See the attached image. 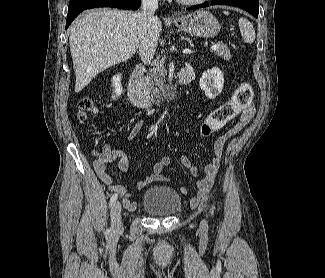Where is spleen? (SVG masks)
Here are the masks:
<instances>
[{
	"label": "spleen",
	"instance_id": "obj_1",
	"mask_svg": "<svg viewBox=\"0 0 325 278\" xmlns=\"http://www.w3.org/2000/svg\"><path fill=\"white\" fill-rule=\"evenodd\" d=\"M224 14L228 15L227 11H224ZM239 28L241 35L246 43H253L255 41V30L253 25L245 18L239 19Z\"/></svg>",
	"mask_w": 325,
	"mask_h": 278
}]
</instances>
